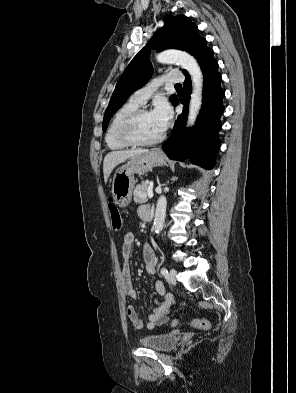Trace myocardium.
<instances>
[{
	"label": "myocardium",
	"instance_id": "f54148a6",
	"mask_svg": "<svg viewBox=\"0 0 296 393\" xmlns=\"http://www.w3.org/2000/svg\"><path fill=\"white\" fill-rule=\"evenodd\" d=\"M151 112L147 108H137L135 111L130 113L121 123L119 128V137L128 146L142 147L150 146L160 142L164 138V132L150 140H140L134 135L135 126L140 119V117L146 113Z\"/></svg>",
	"mask_w": 296,
	"mask_h": 393
}]
</instances>
